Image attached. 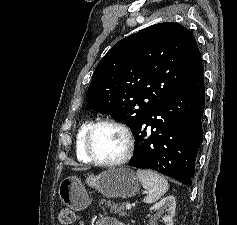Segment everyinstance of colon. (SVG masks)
Wrapping results in <instances>:
<instances>
[{"label": "colon", "mask_w": 237, "mask_h": 225, "mask_svg": "<svg viewBox=\"0 0 237 225\" xmlns=\"http://www.w3.org/2000/svg\"><path fill=\"white\" fill-rule=\"evenodd\" d=\"M60 225H72L75 222V215L69 209H63L58 215Z\"/></svg>", "instance_id": "5ec220e1"}]
</instances>
